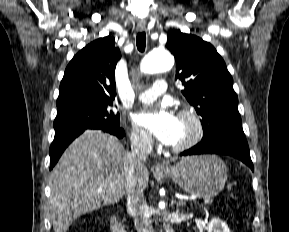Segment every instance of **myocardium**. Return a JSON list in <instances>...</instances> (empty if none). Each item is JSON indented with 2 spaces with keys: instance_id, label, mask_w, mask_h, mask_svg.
I'll use <instances>...</instances> for the list:
<instances>
[{
  "instance_id": "obj_1",
  "label": "myocardium",
  "mask_w": 289,
  "mask_h": 232,
  "mask_svg": "<svg viewBox=\"0 0 289 232\" xmlns=\"http://www.w3.org/2000/svg\"><path fill=\"white\" fill-rule=\"evenodd\" d=\"M178 118L188 119L194 127L192 136L183 144L171 146L174 152L186 151L197 145L204 135V123L200 115L192 109H183L178 113Z\"/></svg>"
}]
</instances>
